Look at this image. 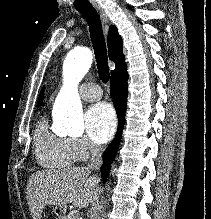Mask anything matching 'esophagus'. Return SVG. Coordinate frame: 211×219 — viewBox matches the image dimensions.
Listing matches in <instances>:
<instances>
[{"mask_svg":"<svg viewBox=\"0 0 211 219\" xmlns=\"http://www.w3.org/2000/svg\"><path fill=\"white\" fill-rule=\"evenodd\" d=\"M93 6L96 9V11L99 13L100 18L103 21V23L107 24L108 23L107 13L98 4H93Z\"/></svg>","mask_w":211,"mask_h":219,"instance_id":"34e87169","label":"esophagus"}]
</instances>
